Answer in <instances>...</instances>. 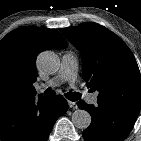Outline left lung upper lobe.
<instances>
[{
  "label": "left lung upper lobe",
  "instance_id": "obj_1",
  "mask_svg": "<svg viewBox=\"0 0 141 141\" xmlns=\"http://www.w3.org/2000/svg\"><path fill=\"white\" fill-rule=\"evenodd\" d=\"M61 32L81 52L82 76L99 91L97 102L119 108H140L141 75L127 45L113 32L86 22Z\"/></svg>",
  "mask_w": 141,
  "mask_h": 141
}]
</instances>
